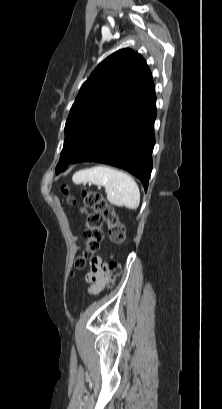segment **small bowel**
<instances>
[{"mask_svg": "<svg viewBox=\"0 0 222 409\" xmlns=\"http://www.w3.org/2000/svg\"><path fill=\"white\" fill-rule=\"evenodd\" d=\"M91 271L86 276L89 284L88 293H99L109 282L108 269H110V260H105L104 256H91Z\"/></svg>", "mask_w": 222, "mask_h": 409, "instance_id": "c3829d8e", "label": "small bowel"}]
</instances>
